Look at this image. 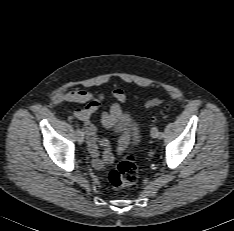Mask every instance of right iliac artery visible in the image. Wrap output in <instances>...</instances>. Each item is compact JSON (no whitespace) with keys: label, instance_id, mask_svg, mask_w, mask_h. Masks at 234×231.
<instances>
[{"label":"right iliac artery","instance_id":"right-iliac-artery-1","mask_svg":"<svg viewBox=\"0 0 234 231\" xmlns=\"http://www.w3.org/2000/svg\"><path fill=\"white\" fill-rule=\"evenodd\" d=\"M76 132L77 136H84V132L80 128H77Z\"/></svg>","mask_w":234,"mask_h":231}]
</instances>
